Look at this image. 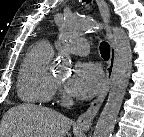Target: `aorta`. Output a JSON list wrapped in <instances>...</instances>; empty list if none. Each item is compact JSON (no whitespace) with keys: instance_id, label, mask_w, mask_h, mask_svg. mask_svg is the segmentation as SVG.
Segmentation results:
<instances>
[{"instance_id":"obj_1","label":"aorta","mask_w":144,"mask_h":137,"mask_svg":"<svg viewBox=\"0 0 144 137\" xmlns=\"http://www.w3.org/2000/svg\"><path fill=\"white\" fill-rule=\"evenodd\" d=\"M101 25L91 19L68 16L62 25V38L73 39L85 31H98ZM115 43V62L111 86L106 104L94 130V137H111L122 101L129 83L132 69V49L126 32L120 27H112ZM67 55L62 57V65L68 66Z\"/></svg>"}]
</instances>
